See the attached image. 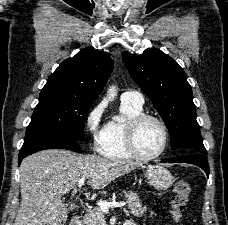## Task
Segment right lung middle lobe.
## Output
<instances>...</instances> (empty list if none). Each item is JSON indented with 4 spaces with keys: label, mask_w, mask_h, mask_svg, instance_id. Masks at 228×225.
<instances>
[{
    "label": "right lung middle lobe",
    "mask_w": 228,
    "mask_h": 225,
    "mask_svg": "<svg viewBox=\"0 0 228 225\" xmlns=\"http://www.w3.org/2000/svg\"><path fill=\"white\" fill-rule=\"evenodd\" d=\"M93 100L58 90L42 89L26 136L56 133L84 140V122Z\"/></svg>",
    "instance_id": "dd1d6c3e"
}]
</instances>
